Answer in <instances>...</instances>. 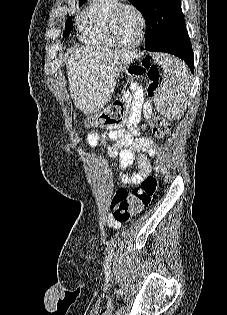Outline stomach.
Listing matches in <instances>:
<instances>
[{
    "mask_svg": "<svg viewBox=\"0 0 227 315\" xmlns=\"http://www.w3.org/2000/svg\"><path fill=\"white\" fill-rule=\"evenodd\" d=\"M102 114H106V112L97 114V115L95 116V123H96V124L101 123V121H100V116H101Z\"/></svg>",
    "mask_w": 227,
    "mask_h": 315,
    "instance_id": "0dacf381",
    "label": "stomach"
}]
</instances>
